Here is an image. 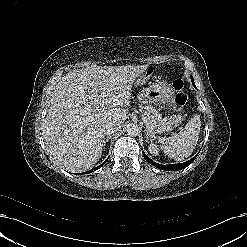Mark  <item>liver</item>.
I'll list each match as a JSON object with an SVG mask.
<instances>
[{
  "label": "liver",
  "instance_id": "1",
  "mask_svg": "<svg viewBox=\"0 0 247 247\" xmlns=\"http://www.w3.org/2000/svg\"><path fill=\"white\" fill-rule=\"evenodd\" d=\"M147 68L148 64L92 66L62 77L43 120L49 158L71 172L97 163L102 156L104 126L127 119L124 107L129 105L133 82ZM89 115L94 118L90 120Z\"/></svg>",
  "mask_w": 247,
  "mask_h": 247
}]
</instances>
